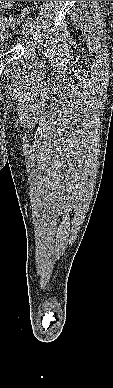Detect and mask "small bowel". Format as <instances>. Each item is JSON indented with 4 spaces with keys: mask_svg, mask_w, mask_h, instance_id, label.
Returning <instances> with one entry per match:
<instances>
[{
    "mask_svg": "<svg viewBox=\"0 0 113 388\" xmlns=\"http://www.w3.org/2000/svg\"><path fill=\"white\" fill-rule=\"evenodd\" d=\"M15 1H1L0 2V13L1 11L7 9V8H11L13 5H14ZM3 18L2 16H0V23L2 24L3 23Z\"/></svg>",
    "mask_w": 113,
    "mask_h": 388,
    "instance_id": "c3829d8e",
    "label": "small bowel"
}]
</instances>
